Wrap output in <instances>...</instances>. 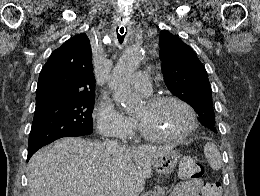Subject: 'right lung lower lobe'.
<instances>
[{
	"label": "right lung lower lobe",
	"instance_id": "1",
	"mask_svg": "<svg viewBox=\"0 0 260 196\" xmlns=\"http://www.w3.org/2000/svg\"><path fill=\"white\" fill-rule=\"evenodd\" d=\"M37 151V150H36ZM35 150H32V151H30V150H28V159L27 160H29V158L36 152Z\"/></svg>",
	"mask_w": 260,
	"mask_h": 196
}]
</instances>
